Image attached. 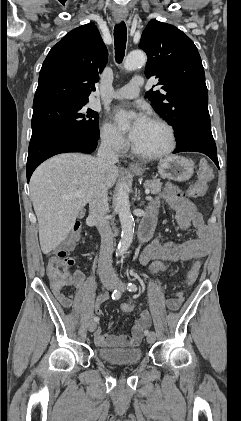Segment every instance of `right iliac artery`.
Wrapping results in <instances>:
<instances>
[{
    "instance_id": "right-iliac-artery-1",
    "label": "right iliac artery",
    "mask_w": 241,
    "mask_h": 421,
    "mask_svg": "<svg viewBox=\"0 0 241 421\" xmlns=\"http://www.w3.org/2000/svg\"><path fill=\"white\" fill-rule=\"evenodd\" d=\"M120 296H121V294H120V292H119L118 290H114V291L112 292V295H111V297H112V299H113V300H117V299H119V298H120ZM94 321H95V322H98V321H99V317L95 316V317H94Z\"/></svg>"
}]
</instances>
